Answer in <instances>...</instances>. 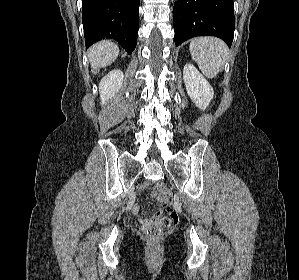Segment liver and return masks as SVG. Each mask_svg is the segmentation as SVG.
Listing matches in <instances>:
<instances>
[{"instance_id":"1","label":"liver","mask_w":299,"mask_h":280,"mask_svg":"<svg viewBox=\"0 0 299 280\" xmlns=\"http://www.w3.org/2000/svg\"><path fill=\"white\" fill-rule=\"evenodd\" d=\"M119 49L111 41H101L88 50V58L93 69H100L110 65L118 56Z\"/></svg>"}]
</instances>
